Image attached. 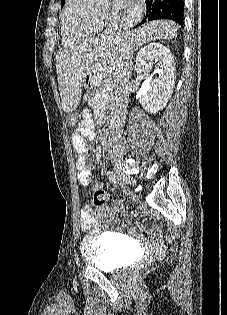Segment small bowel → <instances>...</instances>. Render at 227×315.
I'll return each instance as SVG.
<instances>
[{"instance_id":"c3829d8e","label":"small bowel","mask_w":227,"mask_h":315,"mask_svg":"<svg viewBox=\"0 0 227 315\" xmlns=\"http://www.w3.org/2000/svg\"><path fill=\"white\" fill-rule=\"evenodd\" d=\"M93 139L94 135L90 127V116L88 113H84L82 123L71 135L76 168L78 169V179L84 186H88L91 183V168L89 166L87 149L89 142ZM123 208L124 202L121 200L116 201L112 209L106 215V221L114 220ZM80 226L84 232L89 234H97L101 231L102 222L95 217L93 209L89 204L84 205L80 210ZM138 226L141 230H146L151 235L158 233L157 229H147L142 222L139 223ZM158 246L161 247L162 243L158 242Z\"/></svg>"}]
</instances>
